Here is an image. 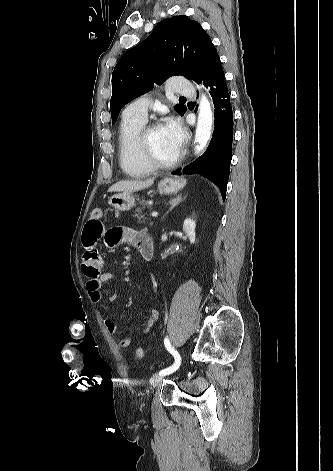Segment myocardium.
<instances>
[{
	"label": "myocardium",
	"instance_id": "obj_1",
	"mask_svg": "<svg viewBox=\"0 0 333 471\" xmlns=\"http://www.w3.org/2000/svg\"><path fill=\"white\" fill-rule=\"evenodd\" d=\"M159 127H161L160 124H153L141 132L139 137V148L146 162L154 169H171L179 163L182 156L181 152H178L172 160L165 162L157 159L147 145V133Z\"/></svg>",
	"mask_w": 333,
	"mask_h": 471
}]
</instances>
